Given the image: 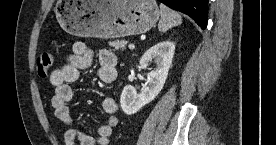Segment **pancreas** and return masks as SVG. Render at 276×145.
I'll list each match as a JSON object with an SVG mask.
<instances>
[{
    "label": "pancreas",
    "mask_w": 276,
    "mask_h": 145,
    "mask_svg": "<svg viewBox=\"0 0 276 145\" xmlns=\"http://www.w3.org/2000/svg\"><path fill=\"white\" fill-rule=\"evenodd\" d=\"M110 46L114 47L116 50L123 51L126 48V41L120 40V41H112L109 42Z\"/></svg>",
    "instance_id": "obj_1"
}]
</instances>
